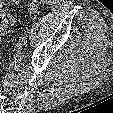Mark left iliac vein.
Masks as SVG:
<instances>
[{"label":"left iliac vein","mask_w":113,"mask_h":113,"mask_svg":"<svg viewBox=\"0 0 113 113\" xmlns=\"http://www.w3.org/2000/svg\"><path fill=\"white\" fill-rule=\"evenodd\" d=\"M24 42L23 41H19V42H17L16 43V48L18 49V50H22L23 49V47H24Z\"/></svg>","instance_id":"1"}]
</instances>
